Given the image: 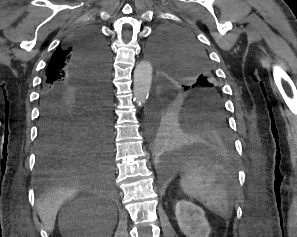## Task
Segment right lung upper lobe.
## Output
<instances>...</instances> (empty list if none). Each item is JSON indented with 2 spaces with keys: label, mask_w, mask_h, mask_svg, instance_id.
<instances>
[{
  "label": "right lung upper lobe",
  "mask_w": 297,
  "mask_h": 237,
  "mask_svg": "<svg viewBox=\"0 0 297 237\" xmlns=\"http://www.w3.org/2000/svg\"><path fill=\"white\" fill-rule=\"evenodd\" d=\"M73 59V49L67 43L59 46L52 55L46 71V80L44 89H51L54 86H66L71 88H79L80 85L73 78L71 70Z\"/></svg>",
  "instance_id": "right-lung-upper-lobe-1"
}]
</instances>
